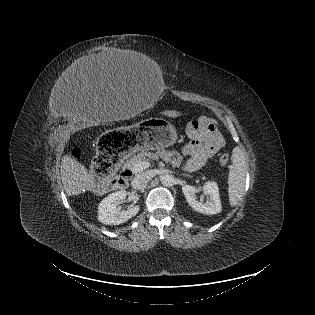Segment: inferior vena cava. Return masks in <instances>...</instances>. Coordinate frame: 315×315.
<instances>
[{
  "mask_svg": "<svg viewBox=\"0 0 315 315\" xmlns=\"http://www.w3.org/2000/svg\"><path fill=\"white\" fill-rule=\"evenodd\" d=\"M152 179V174L149 171L138 174L132 181L134 189L143 188Z\"/></svg>",
  "mask_w": 315,
  "mask_h": 315,
  "instance_id": "1",
  "label": "inferior vena cava"
}]
</instances>
